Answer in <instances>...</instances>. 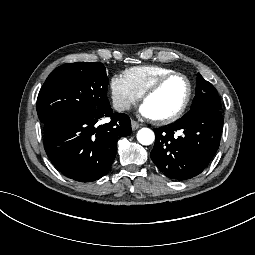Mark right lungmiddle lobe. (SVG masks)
<instances>
[{
    "label": "right lung middle lobe",
    "instance_id": "obj_1",
    "mask_svg": "<svg viewBox=\"0 0 255 255\" xmlns=\"http://www.w3.org/2000/svg\"><path fill=\"white\" fill-rule=\"evenodd\" d=\"M107 86L106 69L100 62H76L56 68L38 94L36 109L41 123L73 115H108L112 109Z\"/></svg>",
    "mask_w": 255,
    "mask_h": 255
}]
</instances>
